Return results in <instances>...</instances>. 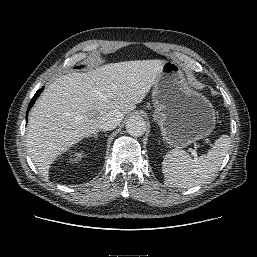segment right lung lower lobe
Wrapping results in <instances>:
<instances>
[{
  "label": "right lung lower lobe",
  "mask_w": 257,
  "mask_h": 257,
  "mask_svg": "<svg viewBox=\"0 0 257 257\" xmlns=\"http://www.w3.org/2000/svg\"><path fill=\"white\" fill-rule=\"evenodd\" d=\"M43 91V88L38 90L35 95L33 96L32 100L30 101L29 103V107H28V111L30 110V108L33 106V104L35 103L36 99L38 98V96L40 95V93ZM27 111V112H28ZM26 119H27V116H26Z\"/></svg>",
  "instance_id": "1"
}]
</instances>
